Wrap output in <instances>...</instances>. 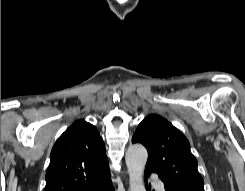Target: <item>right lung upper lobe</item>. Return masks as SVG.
<instances>
[{
    "mask_svg": "<svg viewBox=\"0 0 245 191\" xmlns=\"http://www.w3.org/2000/svg\"><path fill=\"white\" fill-rule=\"evenodd\" d=\"M110 178L105 145L97 129L79 120L54 144L44 191H82Z\"/></svg>",
    "mask_w": 245,
    "mask_h": 191,
    "instance_id": "obj_1",
    "label": "right lung upper lobe"
}]
</instances>
